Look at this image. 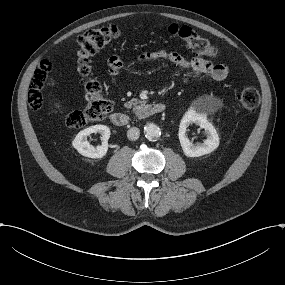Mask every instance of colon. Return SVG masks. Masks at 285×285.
I'll use <instances>...</instances> for the list:
<instances>
[{"instance_id":"obj_1","label":"colon","mask_w":285,"mask_h":285,"mask_svg":"<svg viewBox=\"0 0 285 285\" xmlns=\"http://www.w3.org/2000/svg\"><path fill=\"white\" fill-rule=\"evenodd\" d=\"M168 32L174 37L184 41L187 46L197 55L215 59L220 52L209 40L198 35L188 26L171 24ZM120 35V30L115 25H109L87 30L77 40L78 48L76 57L78 72L84 78L86 92V104L83 109L73 111L65 118L66 126L81 128L90 122L104 119L112 110L111 102L104 97L102 86L92 79L90 74L89 60L96 52L106 47L111 41ZM52 70L49 61H43L34 72L28 93V104L31 109L38 110L44 102V89L50 84V72ZM260 103V94L254 87L244 88L235 99L234 105L246 110H254Z\"/></svg>"}]
</instances>
